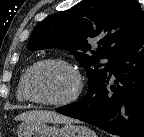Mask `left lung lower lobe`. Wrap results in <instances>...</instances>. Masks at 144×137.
<instances>
[{
    "label": "left lung lower lobe",
    "instance_id": "1",
    "mask_svg": "<svg viewBox=\"0 0 144 137\" xmlns=\"http://www.w3.org/2000/svg\"><path fill=\"white\" fill-rule=\"evenodd\" d=\"M110 76L79 102L56 109L121 137H144V25L137 38L109 65Z\"/></svg>",
    "mask_w": 144,
    "mask_h": 137
}]
</instances>
